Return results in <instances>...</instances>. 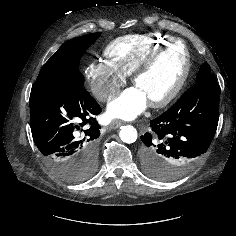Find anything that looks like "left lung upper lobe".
<instances>
[{
	"mask_svg": "<svg viewBox=\"0 0 236 236\" xmlns=\"http://www.w3.org/2000/svg\"><path fill=\"white\" fill-rule=\"evenodd\" d=\"M214 75L211 73V68L207 62L201 66L199 69V73L197 75V80L196 82L207 79V78H212Z\"/></svg>",
	"mask_w": 236,
	"mask_h": 236,
	"instance_id": "left-lung-upper-lobe-1",
	"label": "left lung upper lobe"
}]
</instances>
